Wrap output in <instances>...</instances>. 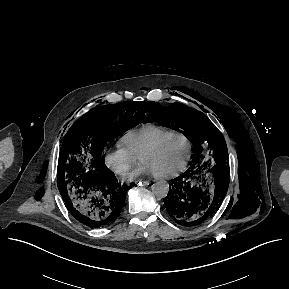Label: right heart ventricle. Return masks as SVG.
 <instances>
[{"label": "right heart ventricle", "mask_w": 289, "mask_h": 289, "mask_svg": "<svg viewBox=\"0 0 289 289\" xmlns=\"http://www.w3.org/2000/svg\"><path fill=\"white\" fill-rule=\"evenodd\" d=\"M172 132H175V130L169 127L145 124L123 134L120 143L137 157H140L154 142Z\"/></svg>", "instance_id": "right-heart-ventricle-1"}]
</instances>
